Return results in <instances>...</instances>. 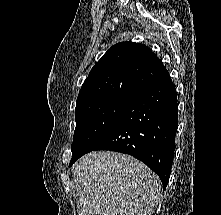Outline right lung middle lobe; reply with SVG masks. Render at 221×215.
Returning <instances> with one entry per match:
<instances>
[{"mask_svg":"<svg viewBox=\"0 0 221 215\" xmlns=\"http://www.w3.org/2000/svg\"><path fill=\"white\" fill-rule=\"evenodd\" d=\"M132 98L110 96L76 104L72 159L81 157L108 130Z\"/></svg>","mask_w":221,"mask_h":215,"instance_id":"right-lung-middle-lobe-1","label":"right lung middle lobe"}]
</instances>
